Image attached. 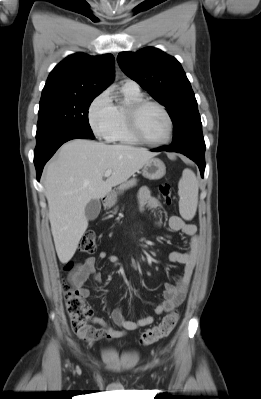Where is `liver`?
<instances>
[{
	"label": "liver",
	"instance_id": "1",
	"mask_svg": "<svg viewBox=\"0 0 261 399\" xmlns=\"http://www.w3.org/2000/svg\"><path fill=\"white\" fill-rule=\"evenodd\" d=\"M154 156L142 148L85 139L62 145L44 176L51 231L61 263L73 257L88 227L85 207L89 201L108 195ZM107 170L112 174L104 181Z\"/></svg>",
	"mask_w": 261,
	"mask_h": 399
}]
</instances>
